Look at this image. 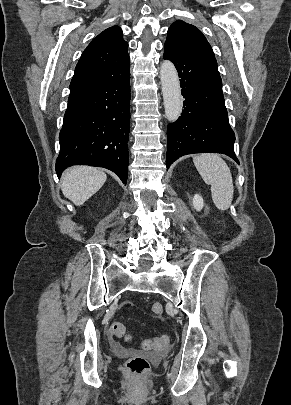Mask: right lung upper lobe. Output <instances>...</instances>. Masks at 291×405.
<instances>
[{"label": "right lung upper lobe", "instance_id": "obj_1", "mask_svg": "<svg viewBox=\"0 0 291 405\" xmlns=\"http://www.w3.org/2000/svg\"><path fill=\"white\" fill-rule=\"evenodd\" d=\"M121 35V28L112 26L91 41L75 68L68 100L130 72L128 44Z\"/></svg>", "mask_w": 291, "mask_h": 405}]
</instances>
